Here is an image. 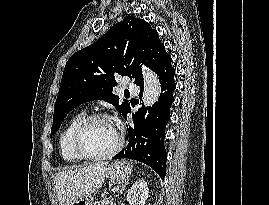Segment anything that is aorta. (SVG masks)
<instances>
[{
	"label": "aorta",
	"instance_id": "aorta-1",
	"mask_svg": "<svg viewBox=\"0 0 269 205\" xmlns=\"http://www.w3.org/2000/svg\"><path fill=\"white\" fill-rule=\"evenodd\" d=\"M144 92L142 102L145 106H153L161 94V85L156 73L148 68H143Z\"/></svg>",
	"mask_w": 269,
	"mask_h": 205
}]
</instances>
